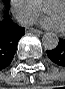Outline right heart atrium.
<instances>
[{
  "label": "right heart atrium",
  "instance_id": "d8ad5b80",
  "mask_svg": "<svg viewBox=\"0 0 65 89\" xmlns=\"http://www.w3.org/2000/svg\"><path fill=\"white\" fill-rule=\"evenodd\" d=\"M12 8L18 19L26 25L33 23L43 11L36 0H12Z\"/></svg>",
  "mask_w": 65,
  "mask_h": 89
}]
</instances>
